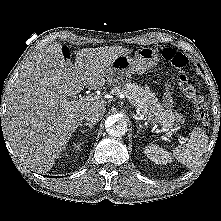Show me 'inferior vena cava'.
<instances>
[{"mask_svg":"<svg viewBox=\"0 0 221 221\" xmlns=\"http://www.w3.org/2000/svg\"><path fill=\"white\" fill-rule=\"evenodd\" d=\"M105 113V108H91L85 115V119L90 122L95 124L96 122L100 121V119L103 117Z\"/></svg>","mask_w":221,"mask_h":221,"instance_id":"1","label":"inferior vena cava"}]
</instances>
